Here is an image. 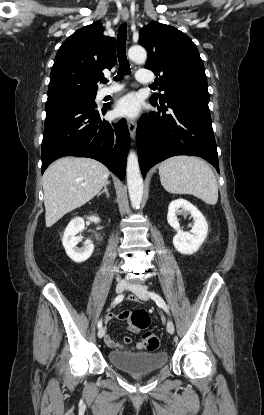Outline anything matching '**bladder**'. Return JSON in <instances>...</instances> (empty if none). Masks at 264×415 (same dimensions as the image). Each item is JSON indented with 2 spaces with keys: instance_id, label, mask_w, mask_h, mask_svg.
<instances>
[{
  "instance_id": "bladder-1",
  "label": "bladder",
  "mask_w": 264,
  "mask_h": 415,
  "mask_svg": "<svg viewBox=\"0 0 264 415\" xmlns=\"http://www.w3.org/2000/svg\"><path fill=\"white\" fill-rule=\"evenodd\" d=\"M107 357L113 367L134 375H140L162 368L167 363L168 353L165 350L148 352L125 349L111 351Z\"/></svg>"
}]
</instances>
